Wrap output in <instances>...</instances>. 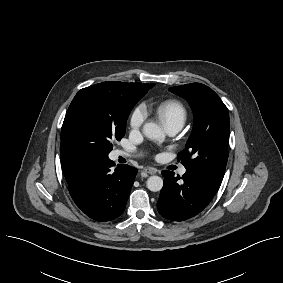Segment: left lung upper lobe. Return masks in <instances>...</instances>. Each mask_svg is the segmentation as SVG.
I'll return each instance as SVG.
<instances>
[{
    "label": "left lung upper lobe",
    "mask_w": 283,
    "mask_h": 283,
    "mask_svg": "<svg viewBox=\"0 0 283 283\" xmlns=\"http://www.w3.org/2000/svg\"><path fill=\"white\" fill-rule=\"evenodd\" d=\"M189 101L195 126L186 148L178 154L187 171L219 188L228 159L229 113L219 96L200 83L169 89Z\"/></svg>",
    "instance_id": "5c2ea615"
}]
</instances>
